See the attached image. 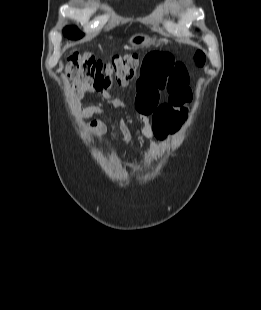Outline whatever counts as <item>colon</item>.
I'll return each instance as SVG.
<instances>
[{
	"instance_id": "1",
	"label": "colon",
	"mask_w": 261,
	"mask_h": 310,
	"mask_svg": "<svg viewBox=\"0 0 261 310\" xmlns=\"http://www.w3.org/2000/svg\"><path fill=\"white\" fill-rule=\"evenodd\" d=\"M193 61L197 67H202L206 61L205 54L195 52ZM138 65V56L132 54L109 61H102L91 54H75L68 58L66 72L73 81L102 92L114 86L128 85L135 78Z\"/></svg>"
}]
</instances>
